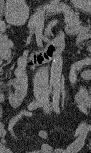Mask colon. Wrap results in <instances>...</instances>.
I'll use <instances>...</instances> for the list:
<instances>
[{"label": "colon", "instance_id": "colon-1", "mask_svg": "<svg viewBox=\"0 0 91 153\" xmlns=\"http://www.w3.org/2000/svg\"><path fill=\"white\" fill-rule=\"evenodd\" d=\"M0 29L2 33L0 34V41L2 43V46H6L9 44V38L6 36V34L3 32L5 30V26L0 25ZM1 46V47H2Z\"/></svg>", "mask_w": 91, "mask_h": 153}]
</instances>
